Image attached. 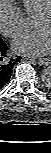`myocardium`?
<instances>
[{"mask_svg": "<svg viewBox=\"0 0 51 153\" xmlns=\"http://www.w3.org/2000/svg\"><path fill=\"white\" fill-rule=\"evenodd\" d=\"M41 17H49L51 18V5L48 6L46 9L42 10L39 12L35 18H41Z\"/></svg>", "mask_w": 51, "mask_h": 153, "instance_id": "f54148a6", "label": "myocardium"}]
</instances>
